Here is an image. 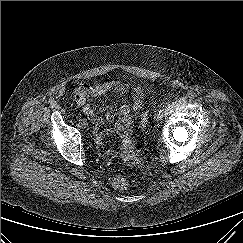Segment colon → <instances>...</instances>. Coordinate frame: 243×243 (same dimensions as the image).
<instances>
[{
	"instance_id": "colon-1",
	"label": "colon",
	"mask_w": 243,
	"mask_h": 243,
	"mask_svg": "<svg viewBox=\"0 0 243 243\" xmlns=\"http://www.w3.org/2000/svg\"><path fill=\"white\" fill-rule=\"evenodd\" d=\"M141 119L145 120V116L143 115ZM112 185L116 189L123 190L127 188L128 182L123 176L115 175L112 179Z\"/></svg>"
}]
</instances>
